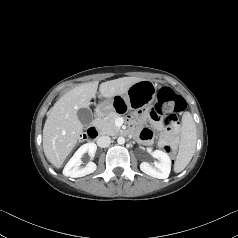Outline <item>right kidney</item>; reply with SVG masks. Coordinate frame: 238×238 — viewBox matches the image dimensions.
I'll list each match as a JSON object with an SVG mask.
<instances>
[{"instance_id":"obj_1","label":"right kidney","mask_w":238,"mask_h":238,"mask_svg":"<svg viewBox=\"0 0 238 238\" xmlns=\"http://www.w3.org/2000/svg\"><path fill=\"white\" fill-rule=\"evenodd\" d=\"M97 147L94 143H86L82 145L68 161L63 169V174L68 177H83L90 173H93L97 166L94 162H89L84 168H80L81 157L88 152L91 158L94 157Z\"/></svg>"}]
</instances>
